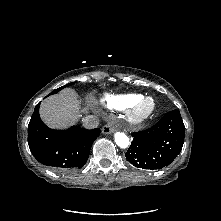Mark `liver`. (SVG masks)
<instances>
[{"label":"liver","instance_id":"liver-1","mask_svg":"<svg viewBox=\"0 0 221 221\" xmlns=\"http://www.w3.org/2000/svg\"><path fill=\"white\" fill-rule=\"evenodd\" d=\"M80 102L74 90L64 89L45 99L40 106V117L53 129H66L79 119Z\"/></svg>","mask_w":221,"mask_h":221}]
</instances>
